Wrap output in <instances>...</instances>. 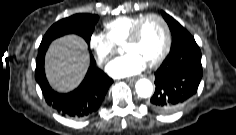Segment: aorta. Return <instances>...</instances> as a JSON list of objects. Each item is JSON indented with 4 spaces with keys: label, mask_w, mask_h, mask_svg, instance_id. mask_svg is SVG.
I'll use <instances>...</instances> for the list:
<instances>
[{
    "label": "aorta",
    "mask_w": 236,
    "mask_h": 135,
    "mask_svg": "<svg viewBox=\"0 0 236 135\" xmlns=\"http://www.w3.org/2000/svg\"><path fill=\"white\" fill-rule=\"evenodd\" d=\"M136 93L141 98H148L152 95L153 85L148 79H140L135 85Z\"/></svg>",
    "instance_id": "1"
}]
</instances>
